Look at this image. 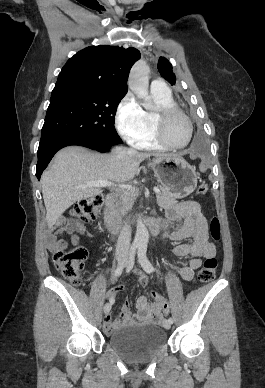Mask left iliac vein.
<instances>
[{
  "mask_svg": "<svg viewBox=\"0 0 265 388\" xmlns=\"http://www.w3.org/2000/svg\"><path fill=\"white\" fill-rule=\"evenodd\" d=\"M132 265L129 263L128 264V267H131ZM163 327L165 328V329H170L171 328V323L168 321V320H164L163 321Z\"/></svg>",
  "mask_w": 265,
  "mask_h": 388,
  "instance_id": "obj_1",
  "label": "left iliac vein"
}]
</instances>
